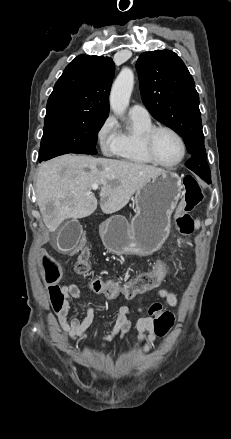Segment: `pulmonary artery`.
<instances>
[{
	"instance_id": "1",
	"label": "pulmonary artery",
	"mask_w": 231,
	"mask_h": 439,
	"mask_svg": "<svg viewBox=\"0 0 231 439\" xmlns=\"http://www.w3.org/2000/svg\"><path fill=\"white\" fill-rule=\"evenodd\" d=\"M129 116L142 120H150V114L148 110L140 104H134L133 106H131V108L129 109Z\"/></svg>"
}]
</instances>
